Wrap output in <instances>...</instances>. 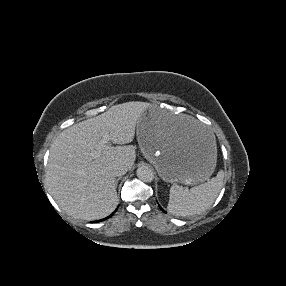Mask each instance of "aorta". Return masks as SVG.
<instances>
[{"label": "aorta", "mask_w": 286, "mask_h": 286, "mask_svg": "<svg viewBox=\"0 0 286 286\" xmlns=\"http://www.w3.org/2000/svg\"><path fill=\"white\" fill-rule=\"evenodd\" d=\"M137 177L143 182H152L154 179L153 170L147 165H140L136 171Z\"/></svg>", "instance_id": "1"}]
</instances>
